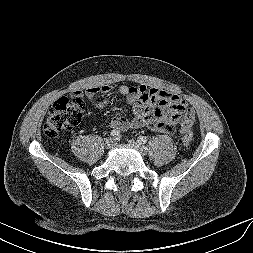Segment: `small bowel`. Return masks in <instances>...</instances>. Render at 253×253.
<instances>
[{
    "label": "small bowel",
    "mask_w": 253,
    "mask_h": 253,
    "mask_svg": "<svg viewBox=\"0 0 253 253\" xmlns=\"http://www.w3.org/2000/svg\"><path fill=\"white\" fill-rule=\"evenodd\" d=\"M110 85L92 86L86 91L75 90L74 98H87L95 109H104L109 104V98L97 101L99 94L106 95L111 91ZM117 94L124 97L132 110L133 117L126 118L118 113L110 122L114 130L126 131L133 128L147 127L156 132L171 133L178 125L180 132L191 128L195 114L186 101L178 95L160 88L145 86L121 85Z\"/></svg>",
    "instance_id": "obj_1"
}]
</instances>
